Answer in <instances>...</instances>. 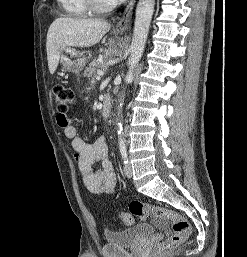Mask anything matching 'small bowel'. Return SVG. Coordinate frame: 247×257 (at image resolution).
<instances>
[{
    "mask_svg": "<svg viewBox=\"0 0 247 257\" xmlns=\"http://www.w3.org/2000/svg\"><path fill=\"white\" fill-rule=\"evenodd\" d=\"M64 123L62 116H57L58 125L64 130L65 136L71 140L77 168L85 187L93 194L103 196L116 190L117 179L108 158V144L104 136L93 143H87L78 136L76 128L70 123ZM98 164L97 170L93 165Z\"/></svg>",
    "mask_w": 247,
    "mask_h": 257,
    "instance_id": "small-bowel-1",
    "label": "small bowel"
}]
</instances>
